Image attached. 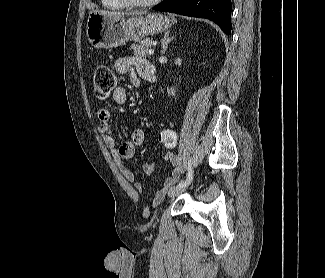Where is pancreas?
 <instances>
[{
	"label": "pancreas",
	"mask_w": 325,
	"mask_h": 278,
	"mask_svg": "<svg viewBox=\"0 0 325 278\" xmlns=\"http://www.w3.org/2000/svg\"><path fill=\"white\" fill-rule=\"evenodd\" d=\"M153 45V40L151 38H146L139 44H133L131 48L134 50V55L136 57L146 58L148 56V50Z\"/></svg>",
	"instance_id": "obj_1"
}]
</instances>
